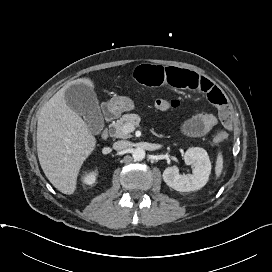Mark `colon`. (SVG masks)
Listing matches in <instances>:
<instances>
[{"label": "colon", "mask_w": 272, "mask_h": 272, "mask_svg": "<svg viewBox=\"0 0 272 272\" xmlns=\"http://www.w3.org/2000/svg\"><path fill=\"white\" fill-rule=\"evenodd\" d=\"M180 106V101L176 99H157L154 101V108L159 111L176 109ZM227 133L224 130H219L213 137L215 143H222L227 140Z\"/></svg>", "instance_id": "obj_1"}]
</instances>
